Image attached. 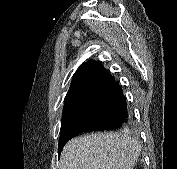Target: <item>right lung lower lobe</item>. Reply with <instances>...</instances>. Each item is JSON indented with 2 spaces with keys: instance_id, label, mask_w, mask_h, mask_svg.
Masks as SVG:
<instances>
[{
  "instance_id": "obj_1",
  "label": "right lung lower lobe",
  "mask_w": 177,
  "mask_h": 169,
  "mask_svg": "<svg viewBox=\"0 0 177 169\" xmlns=\"http://www.w3.org/2000/svg\"><path fill=\"white\" fill-rule=\"evenodd\" d=\"M88 103L73 118L62 123L58 153L74 136L89 131L115 130L130 119L126 98L115 78L103 68L87 82Z\"/></svg>"
}]
</instances>
